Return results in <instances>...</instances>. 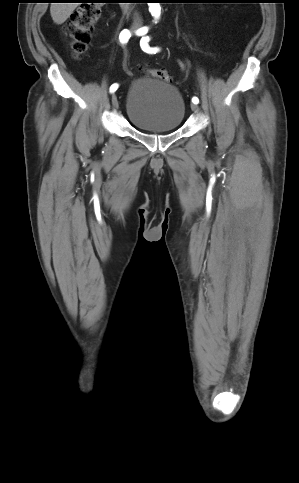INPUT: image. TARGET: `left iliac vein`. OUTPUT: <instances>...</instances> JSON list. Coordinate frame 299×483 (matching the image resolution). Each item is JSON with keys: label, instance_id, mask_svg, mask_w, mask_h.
<instances>
[{"label": "left iliac vein", "instance_id": "left-iliac-vein-1", "mask_svg": "<svg viewBox=\"0 0 299 483\" xmlns=\"http://www.w3.org/2000/svg\"><path fill=\"white\" fill-rule=\"evenodd\" d=\"M190 107H191V109H192L193 111H196V110H197V108H198V107H197V104H194V103H192V104L190 105Z\"/></svg>", "mask_w": 299, "mask_h": 483}]
</instances>
